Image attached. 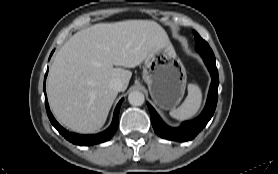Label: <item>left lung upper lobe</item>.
<instances>
[{"instance_id":"1","label":"left lung upper lobe","mask_w":278,"mask_h":174,"mask_svg":"<svg viewBox=\"0 0 278 174\" xmlns=\"http://www.w3.org/2000/svg\"><path fill=\"white\" fill-rule=\"evenodd\" d=\"M195 39H196V51L203 55H208L214 57L213 51L211 50L208 43L203 40L198 33L194 31Z\"/></svg>"}]
</instances>
